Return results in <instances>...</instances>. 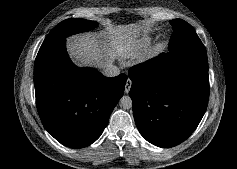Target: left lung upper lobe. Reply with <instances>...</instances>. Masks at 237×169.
Instances as JSON below:
<instances>
[{"mask_svg": "<svg viewBox=\"0 0 237 169\" xmlns=\"http://www.w3.org/2000/svg\"><path fill=\"white\" fill-rule=\"evenodd\" d=\"M174 33L169 42V56L183 53H206V49L190 24L181 19L170 21Z\"/></svg>", "mask_w": 237, "mask_h": 169, "instance_id": "5c2ea615", "label": "left lung upper lobe"}]
</instances>
